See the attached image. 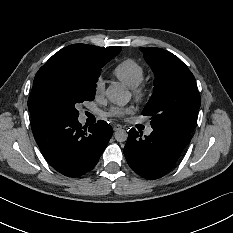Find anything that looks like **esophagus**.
<instances>
[{
    "label": "esophagus",
    "instance_id": "1",
    "mask_svg": "<svg viewBox=\"0 0 233 233\" xmlns=\"http://www.w3.org/2000/svg\"><path fill=\"white\" fill-rule=\"evenodd\" d=\"M123 128V126L121 124H114L113 125V130L114 131H118L121 130Z\"/></svg>",
    "mask_w": 233,
    "mask_h": 233
}]
</instances>
